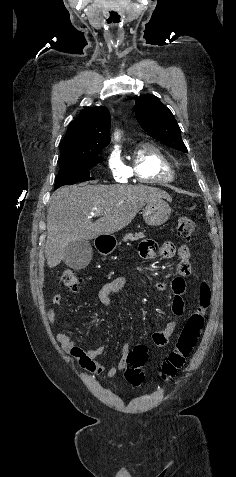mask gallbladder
I'll use <instances>...</instances> for the list:
<instances>
[{"mask_svg": "<svg viewBox=\"0 0 236 477\" xmlns=\"http://www.w3.org/2000/svg\"><path fill=\"white\" fill-rule=\"evenodd\" d=\"M92 247L87 240H77L70 242L64 251V263L74 269L85 268L92 258Z\"/></svg>", "mask_w": 236, "mask_h": 477, "instance_id": "1", "label": "gallbladder"}]
</instances>
